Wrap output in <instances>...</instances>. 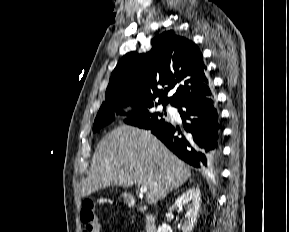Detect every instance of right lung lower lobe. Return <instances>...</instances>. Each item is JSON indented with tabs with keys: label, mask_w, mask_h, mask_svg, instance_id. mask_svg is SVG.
<instances>
[{
	"label": "right lung lower lobe",
	"mask_w": 289,
	"mask_h": 232,
	"mask_svg": "<svg viewBox=\"0 0 289 232\" xmlns=\"http://www.w3.org/2000/svg\"><path fill=\"white\" fill-rule=\"evenodd\" d=\"M184 131L169 122L151 128L180 159L196 168L218 167L221 161V126L213 95L180 103Z\"/></svg>",
	"instance_id": "right-lung-lower-lobe-1"
}]
</instances>
